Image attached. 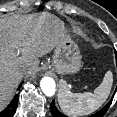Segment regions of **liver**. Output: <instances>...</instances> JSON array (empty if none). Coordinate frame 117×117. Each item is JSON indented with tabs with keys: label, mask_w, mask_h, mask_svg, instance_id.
I'll list each match as a JSON object with an SVG mask.
<instances>
[{
	"label": "liver",
	"mask_w": 117,
	"mask_h": 117,
	"mask_svg": "<svg viewBox=\"0 0 117 117\" xmlns=\"http://www.w3.org/2000/svg\"><path fill=\"white\" fill-rule=\"evenodd\" d=\"M63 32V22L47 12L0 18V111L23 77L21 69L35 71L38 58L56 47Z\"/></svg>",
	"instance_id": "1"
}]
</instances>
